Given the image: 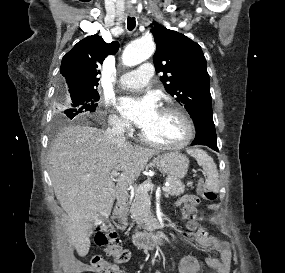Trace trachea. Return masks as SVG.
Instances as JSON below:
<instances>
[{
	"label": "trachea",
	"mask_w": 285,
	"mask_h": 273,
	"mask_svg": "<svg viewBox=\"0 0 285 273\" xmlns=\"http://www.w3.org/2000/svg\"><path fill=\"white\" fill-rule=\"evenodd\" d=\"M136 26V20L134 17H128L127 18V29L129 31H132Z\"/></svg>",
	"instance_id": "obj_1"
}]
</instances>
